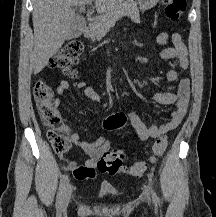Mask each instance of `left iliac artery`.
Segmentation results:
<instances>
[{"label": "left iliac artery", "instance_id": "44dca946", "mask_svg": "<svg viewBox=\"0 0 216 217\" xmlns=\"http://www.w3.org/2000/svg\"><path fill=\"white\" fill-rule=\"evenodd\" d=\"M151 192H152L153 202L157 205L159 203V199L154 190H152Z\"/></svg>", "mask_w": 216, "mask_h": 217}]
</instances>
